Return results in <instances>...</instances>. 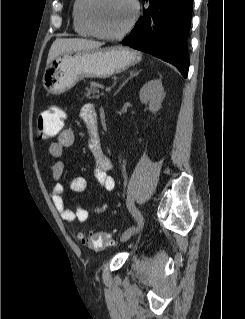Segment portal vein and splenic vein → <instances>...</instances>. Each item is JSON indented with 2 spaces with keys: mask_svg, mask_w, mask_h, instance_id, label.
<instances>
[{
  "mask_svg": "<svg viewBox=\"0 0 245 319\" xmlns=\"http://www.w3.org/2000/svg\"><path fill=\"white\" fill-rule=\"evenodd\" d=\"M105 92H106V93H110V92H111V87H106V88H105Z\"/></svg>",
  "mask_w": 245,
  "mask_h": 319,
  "instance_id": "obj_1",
  "label": "portal vein and splenic vein"
}]
</instances>
